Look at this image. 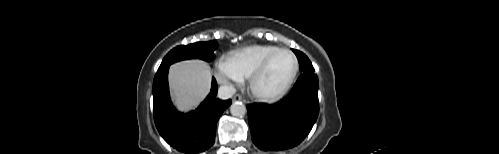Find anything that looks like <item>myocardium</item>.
Here are the masks:
<instances>
[{
	"label": "myocardium",
	"mask_w": 499,
	"mask_h": 154,
	"mask_svg": "<svg viewBox=\"0 0 499 154\" xmlns=\"http://www.w3.org/2000/svg\"><path fill=\"white\" fill-rule=\"evenodd\" d=\"M279 53H287L291 56V58L293 60V69H292L288 79L284 83V85L278 91H276L272 94H263L257 90L256 84H257L258 80L266 72L272 59ZM298 69H299V63H298V59H297L296 55L289 49L278 48L275 51H273L272 53H270L260 63V65L253 71V73L250 75L249 82H248L249 89H250L252 95L255 98H257L258 100L263 101V102H274V101L280 99L289 90V88L291 87V85L293 84V82L295 80Z\"/></svg>",
	"instance_id": "myocardium-1"
}]
</instances>
